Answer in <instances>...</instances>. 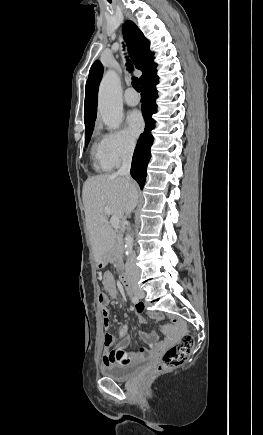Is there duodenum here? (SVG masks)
<instances>
[{"label": "duodenum", "mask_w": 263, "mask_h": 435, "mask_svg": "<svg viewBox=\"0 0 263 435\" xmlns=\"http://www.w3.org/2000/svg\"><path fill=\"white\" fill-rule=\"evenodd\" d=\"M120 280H121L127 294L130 296L132 294V287L130 285V282H129V279H128L126 273H121Z\"/></svg>", "instance_id": "1"}]
</instances>
